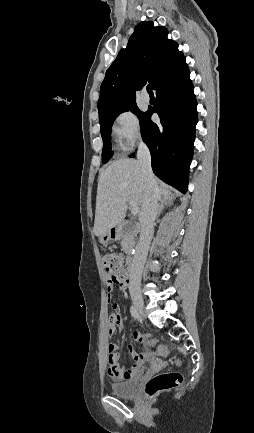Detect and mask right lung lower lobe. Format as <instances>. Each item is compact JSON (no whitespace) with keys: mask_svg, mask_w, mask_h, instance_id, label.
<instances>
[{"mask_svg":"<svg viewBox=\"0 0 254 433\" xmlns=\"http://www.w3.org/2000/svg\"><path fill=\"white\" fill-rule=\"evenodd\" d=\"M155 90L156 104L140 119L141 135L150 150L154 174L185 193L198 121L185 58ZM153 113H158L160 123L151 121Z\"/></svg>","mask_w":254,"mask_h":433,"instance_id":"obj_1","label":"right lung lower lobe"}]
</instances>
